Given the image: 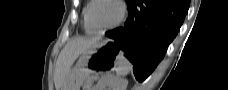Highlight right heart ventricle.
<instances>
[{"label":"right heart ventricle","instance_id":"obj_1","mask_svg":"<svg viewBox=\"0 0 228 90\" xmlns=\"http://www.w3.org/2000/svg\"><path fill=\"white\" fill-rule=\"evenodd\" d=\"M90 5H91V1H87L86 4L83 7V10H82V22H83L84 31L87 34L92 35V34H94V31L90 28V26L88 24V20H87V15H88V10H89Z\"/></svg>","mask_w":228,"mask_h":90}]
</instances>
